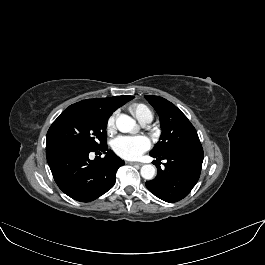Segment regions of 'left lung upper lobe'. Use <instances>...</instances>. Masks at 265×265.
<instances>
[{
	"label": "left lung upper lobe",
	"mask_w": 265,
	"mask_h": 265,
	"mask_svg": "<svg viewBox=\"0 0 265 265\" xmlns=\"http://www.w3.org/2000/svg\"><path fill=\"white\" fill-rule=\"evenodd\" d=\"M145 98L157 111L162 129L151 155L163 156L174 149L200 143L193 125L173 103L159 96Z\"/></svg>",
	"instance_id": "left-lung-upper-lobe-1"
}]
</instances>
